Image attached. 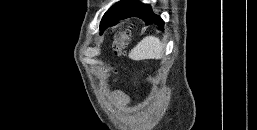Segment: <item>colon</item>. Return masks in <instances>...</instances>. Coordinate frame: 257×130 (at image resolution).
<instances>
[{"mask_svg":"<svg viewBox=\"0 0 257 130\" xmlns=\"http://www.w3.org/2000/svg\"><path fill=\"white\" fill-rule=\"evenodd\" d=\"M130 40V30H125L122 33H120L113 43V50L116 55H122L124 52V49L126 45L128 44Z\"/></svg>","mask_w":257,"mask_h":130,"instance_id":"obj_1","label":"colon"}]
</instances>
